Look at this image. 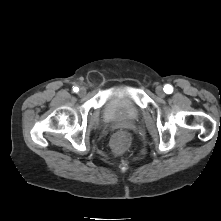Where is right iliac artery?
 I'll list each match as a JSON object with an SVG mask.
<instances>
[{
    "mask_svg": "<svg viewBox=\"0 0 221 221\" xmlns=\"http://www.w3.org/2000/svg\"><path fill=\"white\" fill-rule=\"evenodd\" d=\"M73 90H74V92H78L79 88L78 87H74Z\"/></svg>",
    "mask_w": 221,
    "mask_h": 221,
    "instance_id": "1",
    "label": "right iliac artery"
}]
</instances>
